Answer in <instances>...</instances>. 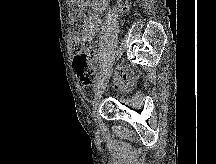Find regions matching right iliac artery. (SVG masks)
I'll list each match as a JSON object with an SVG mask.
<instances>
[{"mask_svg":"<svg viewBox=\"0 0 216 164\" xmlns=\"http://www.w3.org/2000/svg\"><path fill=\"white\" fill-rule=\"evenodd\" d=\"M102 76L99 77L98 81L94 85V91L97 90V88L100 85V82L104 80V76L106 75L104 72L101 74Z\"/></svg>","mask_w":216,"mask_h":164,"instance_id":"1","label":"right iliac artery"}]
</instances>
